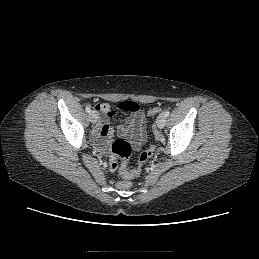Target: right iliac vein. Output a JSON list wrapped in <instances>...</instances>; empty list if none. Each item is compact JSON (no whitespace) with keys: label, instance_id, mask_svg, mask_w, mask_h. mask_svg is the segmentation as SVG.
Here are the masks:
<instances>
[{"label":"right iliac vein","instance_id":"1","mask_svg":"<svg viewBox=\"0 0 259 259\" xmlns=\"http://www.w3.org/2000/svg\"><path fill=\"white\" fill-rule=\"evenodd\" d=\"M89 119L93 124L96 123L98 119L97 114L94 111H91L89 114Z\"/></svg>","mask_w":259,"mask_h":259}]
</instances>
